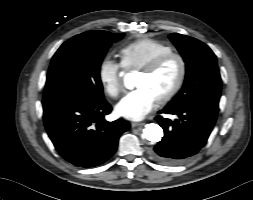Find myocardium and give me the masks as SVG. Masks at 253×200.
Returning <instances> with one entry per match:
<instances>
[{
    "instance_id": "1",
    "label": "myocardium",
    "mask_w": 253,
    "mask_h": 200,
    "mask_svg": "<svg viewBox=\"0 0 253 200\" xmlns=\"http://www.w3.org/2000/svg\"><path fill=\"white\" fill-rule=\"evenodd\" d=\"M171 60H176L179 63V75L173 87L157 100L159 104H165L169 102L181 90L187 74V65L184 57L179 53L170 52L156 58L151 63L140 69V73L152 75L158 72L166 63Z\"/></svg>"
}]
</instances>
